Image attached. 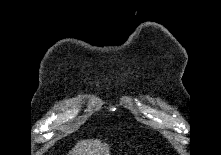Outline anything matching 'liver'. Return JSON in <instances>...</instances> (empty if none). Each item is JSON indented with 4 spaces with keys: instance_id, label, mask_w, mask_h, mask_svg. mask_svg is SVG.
<instances>
[{
    "instance_id": "1",
    "label": "liver",
    "mask_w": 221,
    "mask_h": 155,
    "mask_svg": "<svg viewBox=\"0 0 221 155\" xmlns=\"http://www.w3.org/2000/svg\"><path fill=\"white\" fill-rule=\"evenodd\" d=\"M69 155H110V152L108 144L99 139H91L79 141Z\"/></svg>"
}]
</instances>
